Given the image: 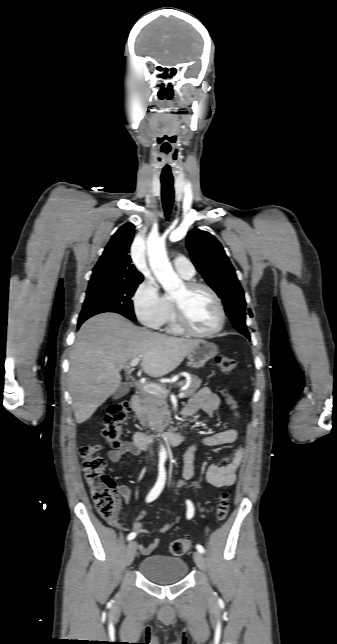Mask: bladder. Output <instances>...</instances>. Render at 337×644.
<instances>
[{
	"label": "bladder",
	"instance_id": "obj_1",
	"mask_svg": "<svg viewBox=\"0 0 337 644\" xmlns=\"http://www.w3.org/2000/svg\"><path fill=\"white\" fill-rule=\"evenodd\" d=\"M139 572L153 583L173 584L182 581L186 577L188 565L181 558L151 555L141 560Z\"/></svg>",
	"mask_w": 337,
	"mask_h": 644
}]
</instances>
